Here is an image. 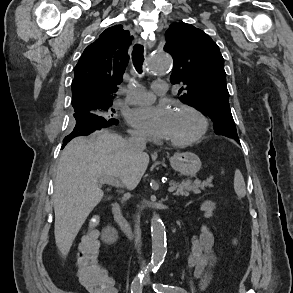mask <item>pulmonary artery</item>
<instances>
[{"label": "pulmonary artery", "mask_w": 293, "mask_h": 293, "mask_svg": "<svg viewBox=\"0 0 293 293\" xmlns=\"http://www.w3.org/2000/svg\"><path fill=\"white\" fill-rule=\"evenodd\" d=\"M153 91L143 89H131L127 92L125 101L128 104H148L156 96L164 95L168 90V84L164 80L156 81L152 84Z\"/></svg>", "instance_id": "obj_1"}]
</instances>
